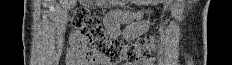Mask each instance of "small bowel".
<instances>
[{
	"instance_id": "obj_1",
	"label": "small bowel",
	"mask_w": 232,
	"mask_h": 65,
	"mask_svg": "<svg viewBox=\"0 0 232 65\" xmlns=\"http://www.w3.org/2000/svg\"><path fill=\"white\" fill-rule=\"evenodd\" d=\"M116 21H135V23L134 26H125V23H116ZM142 21H144L142 12H105L104 25L111 37H125V42H128V40H132V37H143V33L148 31V26ZM119 28H124V31L127 32H121ZM79 35V33L72 35V47L68 56L70 61L75 59V41ZM155 62V58H144L134 65H154Z\"/></svg>"
}]
</instances>
